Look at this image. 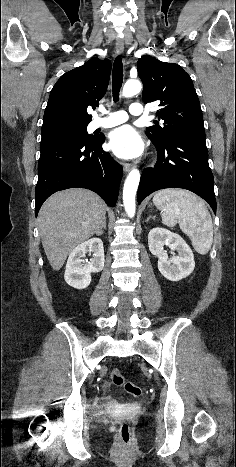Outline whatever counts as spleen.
Masks as SVG:
<instances>
[{
	"label": "spleen",
	"instance_id": "1",
	"mask_svg": "<svg viewBox=\"0 0 236 467\" xmlns=\"http://www.w3.org/2000/svg\"><path fill=\"white\" fill-rule=\"evenodd\" d=\"M153 203L161 210L166 226L178 223L194 249L202 255L208 253L213 243V224L202 200L185 190L165 189L154 195Z\"/></svg>",
	"mask_w": 236,
	"mask_h": 467
}]
</instances>
